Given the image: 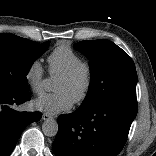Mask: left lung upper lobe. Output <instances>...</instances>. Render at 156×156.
I'll return each mask as SVG.
<instances>
[{"label":"left lung upper lobe","mask_w":156,"mask_h":156,"mask_svg":"<svg viewBox=\"0 0 156 156\" xmlns=\"http://www.w3.org/2000/svg\"><path fill=\"white\" fill-rule=\"evenodd\" d=\"M74 48L90 61L91 83L79 109L119 101L137 106V73L129 55L109 40L81 41Z\"/></svg>","instance_id":"1"}]
</instances>
